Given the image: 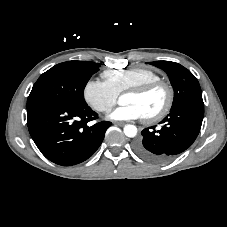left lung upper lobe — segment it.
<instances>
[{"label":"left lung upper lobe","mask_w":227,"mask_h":227,"mask_svg":"<svg viewBox=\"0 0 227 227\" xmlns=\"http://www.w3.org/2000/svg\"><path fill=\"white\" fill-rule=\"evenodd\" d=\"M148 63L163 69L169 76L174 89V100L171 109L189 103L204 105L198 80L188 69L171 61H155Z\"/></svg>","instance_id":"left-lung-upper-lobe-1"}]
</instances>
